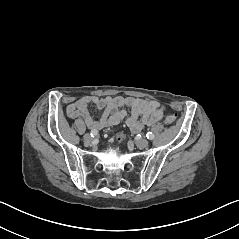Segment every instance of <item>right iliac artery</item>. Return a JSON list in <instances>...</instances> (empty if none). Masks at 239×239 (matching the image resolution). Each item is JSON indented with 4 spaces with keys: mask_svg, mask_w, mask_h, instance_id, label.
Returning a JSON list of instances; mask_svg holds the SVG:
<instances>
[{
    "mask_svg": "<svg viewBox=\"0 0 239 239\" xmlns=\"http://www.w3.org/2000/svg\"><path fill=\"white\" fill-rule=\"evenodd\" d=\"M97 134H98V131H97V130H92L91 133H90V135H91L92 137L97 136Z\"/></svg>",
    "mask_w": 239,
    "mask_h": 239,
    "instance_id": "obj_1",
    "label": "right iliac artery"
}]
</instances>
